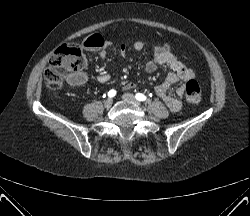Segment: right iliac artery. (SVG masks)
Returning a JSON list of instances; mask_svg holds the SVG:
<instances>
[{"label":"right iliac artery","instance_id":"82829eb1","mask_svg":"<svg viewBox=\"0 0 250 216\" xmlns=\"http://www.w3.org/2000/svg\"><path fill=\"white\" fill-rule=\"evenodd\" d=\"M115 95H116V90H114V89H112V90H110V91L108 92V96H109L110 98L114 97Z\"/></svg>","mask_w":250,"mask_h":216}]
</instances>
